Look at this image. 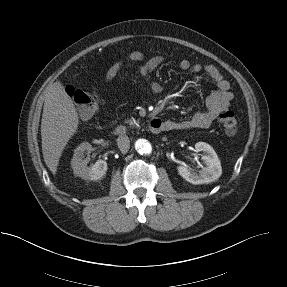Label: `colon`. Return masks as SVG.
<instances>
[{"instance_id":"obj_1","label":"colon","mask_w":287,"mask_h":287,"mask_svg":"<svg viewBox=\"0 0 287 287\" xmlns=\"http://www.w3.org/2000/svg\"><path fill=\"white\" fill-rule=\"evenodd\" d=\"M67 92L74 100L82 117L89 118L95 113L98 107V97L95 92H87L73 87L68 88ZM219 122L227 135L232 136L237 132L238 118L234 112H222Z\"/></svg>"}]
</instances>
